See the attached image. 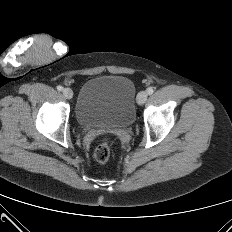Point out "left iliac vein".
<instances>
[{"mask_svg":"<svg viewBox=\"0 0 232 232\" xmlns=\"http://www.w3.org/2000/svg\"><path fill=\"white\" fill-rule=\"evenodd\" d=\"M147 97L148 95L146 91L139 92V94L137 95V103L139 105H143L146 102Z\"/></svg>","mask_w":232,"mask_h":232,"instance_id":"1","label":"left iliac vein"}]
</instances>
